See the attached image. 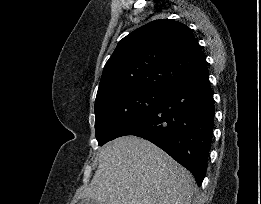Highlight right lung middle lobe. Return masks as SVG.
<instances>
[{
	"mask_svg": "<svg viewBox=\"0 0 261 204\" xmlns=\"http://www.w3.org/2000/svg\"><path fill=\"white\" fill-rule=\"evenodd\" d=\"M164 91L129 89L112 92L95 102V129L99 145L113 140L146 115Z\"/></svg>",
	"mask_w": 261,
	"mask_h": 204,
	"instance_id": "obj_1",
	"label": "right lung middle lobe"
}]
</instances>
